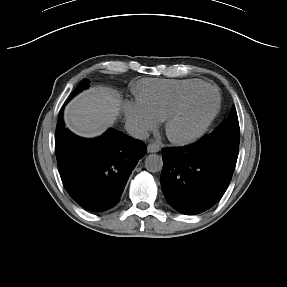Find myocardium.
Listing matches in <instances>:
<instances>
[{"label":"myocardium","mask_w":287,"mask_h":287,"mask_svg":"<svg viewBox=\"0 0 287 287\" xmlns=\"http://www.w3.org/2000/svg\"><path fill=\"white\" fill-rule=\"evenodd\" d=\"M204 90H209L214 94L215 97V103L212 111L208 115V117L204 120V122L192 133L184 136H178L173 132V126L175 122L178 120V118L181 116L183 113L185 107L187 106L188 102L191 100V98L196 95L197 93L204 91ZM221 107V97L218 92V90L209 85V84H204L201 86H198L190 91H188L173 107L171 112L168 114V116L165 119V134L169 141H171L173 144L184 146V145H189L191 143H194L198 139H200L206 131L209 129L211 126L212 122L218 115Z\"/></svg>","instance_id":"obj_1"}]
</instances>
